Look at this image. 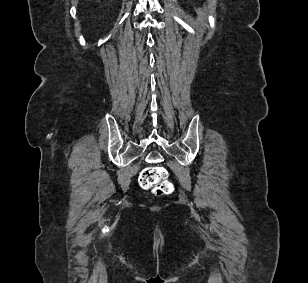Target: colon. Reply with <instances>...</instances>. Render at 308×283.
Listing matches in <instances>:
<instances>
[{
  "label": "colon",
  "mask_w": 308,
  "mask_h": 283,
  "mask_svg": "<svg viewBox=\"0 0 308 283\" xmlns=\"http://www.w3.org/2000/svg\"><path fill=\"white\" fill-rule=\"evenodd\" d=\"M139 185L151 190L156 196L168 195L173 191V184L168 179V172L161 166H149L139 174Z\"/></svg>",
  "instance_id": "5ec220e1"
}]
</instances>
